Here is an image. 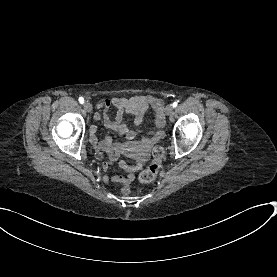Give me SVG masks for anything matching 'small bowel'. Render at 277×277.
<instances>
[{"label": "small bowel", "mask_w": 277, "mask_h": 277, "mask_svg": "<svg viewBox=\"0 0 277 277\" xmlns=\"http://www.w3.org/2000/svg\"><path fill=\"white\" fill-rule=\"evenodd\" d=\"M113 104L116 107V113L111 118L107 112L112 111ZM100 106L105 107V111L101 113L104 118L105 126L117 131L121 135H127L131 138L137 136V132L129 130L124 123L125 114L133 116V122L135 125H141L144 120V115L149 108H152L155 114L156 126H164V102L162 99L152 95H137L132 97H108L100 101ZM100 115L96 114L95 119H99ZM157 139L149 134L143 137L140 141H129L122 146L119 144H113L109 138H105L97 144L96 137L94 136V129H91L90 141L93 145L97 146L101 150H105L109 153L110 162L114 161L123 149L126 152L133 151L137 154V163L135 165H129L125 162L120 163V167L125 172L123 176H113L108 181L111 184L128 185L134 179L135 173L139 171L146 161L147 149Z\"/></svg>", "instance_id": "small-bowel-1"}]
</instances>
